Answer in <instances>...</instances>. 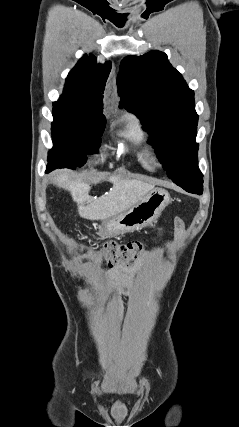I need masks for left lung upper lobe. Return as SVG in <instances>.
Wrapping results in <instances>:
<instances>
[{
	"instance_id": "1",
	"label": "left lung upper lobe",
	"mask_w": 239,
	"mask_h": 427,
	"mask_svg": "<svg viewBox=\"0 0 239 427\" xmlns=\"http://www.w3.org/2000/svg\"><path fill=\"white\" fill-rule=\"evenodd\" d=\"M119 108L134 113L151 135L150 143L179 186L203 181L196 144L198 115L194 92L158 50L127 56L117 78Z\"/></svg>"
}]
</instances>
